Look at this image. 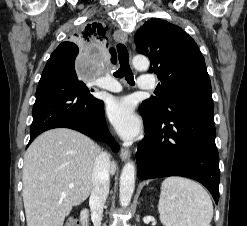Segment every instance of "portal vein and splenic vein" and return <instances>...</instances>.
<instances>
[{"instance_id":"18ae733b","label":"portal vein and splenic vein","mask_w":247,"mask_h":226,"mask_svg":"<svg viewBox=\"0 0 247 226\" xmlns=\"http://www.w3.org/2000/svg\"><path fill=\"white\" fill-rule=\"evenodd\" d=\"M69 187H70V188H72V187H73V185H69Z\"/></svg>"}]
</instances>
